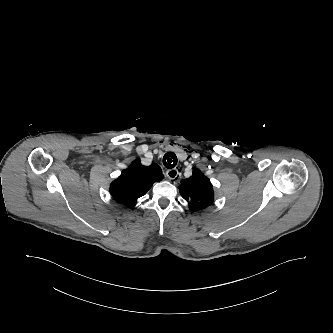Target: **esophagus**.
Wrapping results in <instances>:
<instances>
[{
    "instance_id": "34e87169",
    "label": "esophagus",
    "mask_w": 333,
    "mask_h": 333,
    "mask_svg": "<svg viewBox=\"0 0 333 333\" xmlns=\"http://www.w3.org/2000/svg\"><path fill=\"white\" fill-rule=\"evenodd\" d=\"M166 177L168 178V180H179L181 177V174L179 172V167L178 168H173V169H169L166 171Z\"/></svg>"
}]
</instances>
